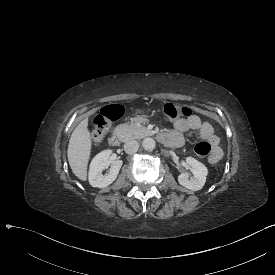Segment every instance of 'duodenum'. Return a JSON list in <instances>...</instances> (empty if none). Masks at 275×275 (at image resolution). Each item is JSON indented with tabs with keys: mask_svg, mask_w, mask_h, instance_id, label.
Instances as JSON below:
<instances>
[{
	"mask_svg": "<svg viewBox=\"0 0 275 275\" xmlns=\"http://www.w3.org/2000/svg\"><path fill=\"white\" fill-rule=\"evenodd\" d=\"M158 139L169 146H177L178 145V140L167 133L160 134L158 135ZM123 140V134L120 131H115L111 136H110V143L113 146H119Z\"/></svg>",
	"mask_w": 275,
	"mask_h": 275,
	"instance_id": "obj_1",
	"label": "duodenum"
}]
</instances>
